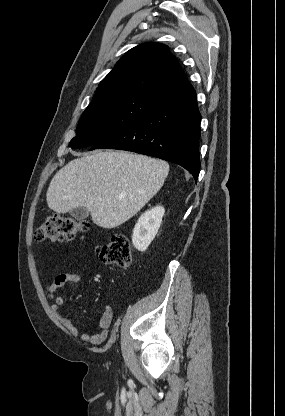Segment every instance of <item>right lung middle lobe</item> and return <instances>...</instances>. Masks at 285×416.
Returning a JSON list of instances; mask_svg holds the SVG:
<instances>
[{"label":"right lung middle lobe","instance_id":"obj_1","mask_svg":"<svg viewBox=\"0 0 285 416\" xmlns=\"http://www.w3.org/2000/svg\"><path fill=\"white\" fill-rule=\"evenodd\" d=\"M162 108L138 96H127L89 105L70 141L72 148L93 145Z\"/></svg>","mask_w":285,"mask_h":416}]
</instances>
